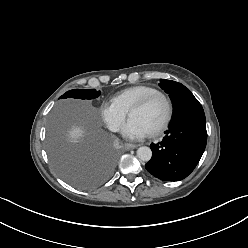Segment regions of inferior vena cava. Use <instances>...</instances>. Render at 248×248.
Wrapping results in <instances>:
<instances>
[{"instance_id": "obj_1", "label": "inferior vena cava", "mask_w": 248, "mask_h": 248, "mask_svg": "<svg viewBox=\"0 0 248 248\" xmlns=\"http://www.w3.org/2000/svg\"><path fill=\"white\" fill-rule=\"evenodd\" d=\"M111 130L114 131V132L118 131V126H116V125L112 126Z\"/></svg>"}]
</instances>
